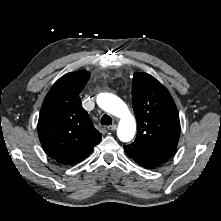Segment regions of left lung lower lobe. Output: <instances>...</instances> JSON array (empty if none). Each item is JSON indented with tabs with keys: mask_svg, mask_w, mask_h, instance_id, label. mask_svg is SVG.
<instances>
[{
	"mask_svg": "<svg viewBox=\"0 0 221 221\" xmlns=\"http://www.w3.org/2000/svg\"><path fill=\"white\" fill-rule=\"evenodd\" d=\"M136 163H138V162H136ZM138 164L145 167V168H148V169H154L155 168V167L147 165V164H142V163H138Z\"/></svg>",
	"mask_w": 221,
	"mask_h": 221,
	"instance_id": "1",
	"label": "left lung lower lobe"
}]
</instances>
